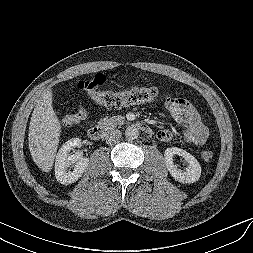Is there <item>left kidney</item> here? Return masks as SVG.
Wrapping results in <instances>:
<instances>
[{
    "label": "left kidney",
    "mask_w": 253,
    "mask_h": 253,
    "mask_svg": "<svg viewBox=\"0 0 253 253\" xmlns=\"http://www.w3.org/2000/svg\"><path fill=\"white\" fill-rule=\"evenodd\" d=\"M174 155H179L184 158L188 167L181 170L173 162ZM165 165L172 175V177L180 183H194L199 180L201 176V166L197 159L187 151L178 148H167L164 152Z\"/></svg>",
    "instance_id": "5707ae66"
}]
</instances>
